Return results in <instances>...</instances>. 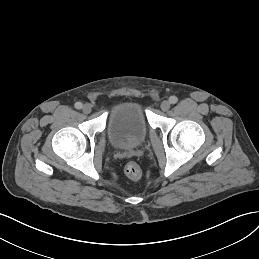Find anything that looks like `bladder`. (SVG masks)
Here are the masks:
<instances>
[{
    "label": "bladder",
    "mask_w": 259,
    "mask_h": 259,
    "mask_svg": "<svg viewBox=\"0 0 259 259\" xmlns=\"http://www.w3.org/2000/svg\"><path fill=\"white\" fill-rule=\"evenodd\" d=\"M108 138L117 148L142 144L148 134V123L142 105L132 99L116 103L108 115Z\"/></svg>",
    "instance_id": "31cf9c89"
}]
</instances>
